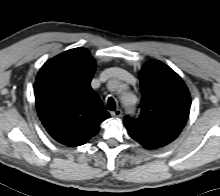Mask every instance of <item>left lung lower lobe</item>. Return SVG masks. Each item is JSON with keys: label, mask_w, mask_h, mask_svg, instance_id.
<instances>
[{"label": "left lung lower lobe", "mask_w": 220, "mask_h": 196, "mask_svg": "<svg viewBox=\"0 0 220 196\" xmlns=\"http://www.w3.org/2000/svg\"><path fill=\"white\" fill-rule=\"evenodd\" d=\"M133 139H135L136 141L138 140L134 135L129 134ZM138 142V141H137Z\"/></svg>", "instance_id": "obj_1"}]
</instances>
